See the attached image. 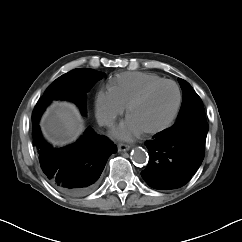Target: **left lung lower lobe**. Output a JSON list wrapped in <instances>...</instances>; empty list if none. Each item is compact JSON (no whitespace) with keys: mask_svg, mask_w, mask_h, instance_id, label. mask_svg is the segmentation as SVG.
<instances>
[{"mask_svg":"<svg viewBox=\"0 0 242 242\" xmlns=\"http://www.w3.org/2000/svg\"><path fill=\"white\" fill-rule=\"evenodd\" d=\"M207 134L171 135L159 132L146 141L149 162L141 175L158 190L177 189L187 184L200 167Z\"/></svg>","mask_w":242,"mask_h":242,"instance_id":"left-lung-lower-lobe-1","label":"left lung lower lobe"}]
</instances>
